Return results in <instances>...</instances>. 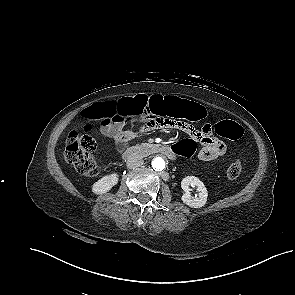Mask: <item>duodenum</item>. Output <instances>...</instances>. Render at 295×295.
Returning <instances> with one entry per match:
<instances>
[{
  "label": "duodenum",
  "instance_id": "duodenum-1",
  "mask_svg": "<svg viewBox=\"0 0 295 295\" xmlns=\"http://www.w3.org/2000/svg\"><path fill=\"white\" fill-rule=\"evenodd\" d=\"M150 153H161L170 159H175L176 157L175 151L170 146L165 144L153 143V144L137 145L127 149L123 153V159L129 160V159L141 157Z\"/></svg>",
  "mask_w": 295,
  "mask_h": 295
}]
</instances>
